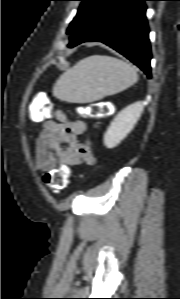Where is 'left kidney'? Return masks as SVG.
Returning <instances> with one entry per match:
<instances>
[{
  "instance_id": "left-kidney-1",
  "label": "left kidney",
  "mask_w": 180,
  "mask_h": 299,
  "mask_svg": "<svg viewBox=\"0 0 180 299\" xmlns=\"http://www.w3.org/2000/svg\"><path fill=\"white\" fill-rule=\"evenodd\" d=\"M143 108L142 102H136L117 114L104 134V144L107 148L116 147L133 130Z\"/></svg>"
}]
</instances>
